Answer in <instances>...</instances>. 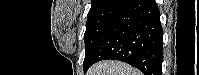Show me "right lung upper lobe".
<instances>
[{
  "mask_svg": "<svg viewBox=\"0 0 199 75\" xmlns=\"http://www.w3.org/2000/svg\"><path fill=\"white\" fill-rule=\"evenodd\" d=\"M107 1H109V0H91V7H94L96 5L102 4Z\"/></svg>",
  "mask_w": 199,
  "mask_h": 75,
  "instance_id": "right-lung-upper-lobe-1",
  "label": "right lung upper lobe"
}]
</instances>
